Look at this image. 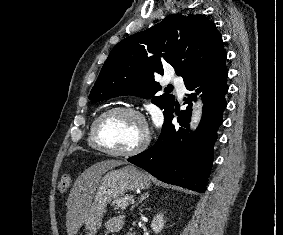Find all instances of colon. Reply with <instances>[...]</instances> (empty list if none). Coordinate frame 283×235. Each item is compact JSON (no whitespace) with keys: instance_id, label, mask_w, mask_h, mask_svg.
I'll list each match as a JSON object with an SVG mask.
<instances>
[{"instance_id":"colon-1","label":"colon","mask_w":283,"mask_h":235,"mask_svg":"<svg viewBox=\"0 0 283 235\" xmlns=\"http://www.w3.org/2000/svg\"><path fill=\"white\" fill-rule=\"evenodd\" d=\"M70 183H71L70 176L68 174H63L59 181V190L61 192L66 191L69 188Z\"/></svg>"}]
</instances>
